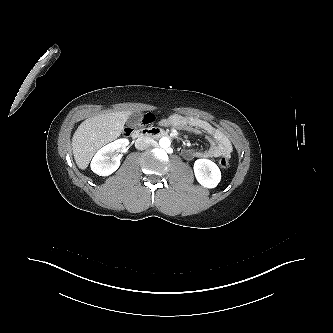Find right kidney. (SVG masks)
<instances>
[{"instance_id":"ca27d5eb","label":"right kidney","mask_w":333,"mask_h":333,"mask_svg":"<svg viewBox=\"0 0 333 333\" xmlns=\"http://www.w3.org/2000/svg\"><path fill=\"white\" fill-rule=\"evenodd\" d=\"M128 139H118L102 147L91 161V170L99 176H109L120 166L121 155L111 157L113 152L120 150L126 152Z\"/></svg>"}]
</instances>
